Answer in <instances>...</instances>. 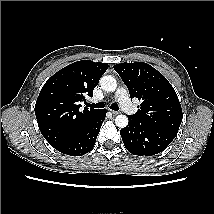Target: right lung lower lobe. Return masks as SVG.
<instances>
[{"label": "right lung lower lobe", "mask_w": 214, "mask_h": 214, "mask_svg": "<svg viewBox=\"0 0 214 214\" xmlns=\"http://www.w3.org/2000/svg\"><path fill=\"white\" fill-rule=\"evenodd\" d=\"M106 112L105 109L100 110L70 138L54 148L70 156H81L88 153L94 147Z\"/></svg>", "instance_id": "obj_1"}]
</instances>
